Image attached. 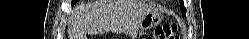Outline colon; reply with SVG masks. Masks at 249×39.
<instances>
[{
	"mask_svg": "<svg viewBox=\"0 0 249 39\" xmlns=\"http://www.w3.org/2000/svg\"><path fill=\"white\" fill-rule=\"evenodd\" d=\"M178 27L175 23H168L162 26H158L153 33V36L148 39H176Z\"/></svg>",
	"mask_w": 249,
	"mask_h": 39,
	"instance_id": "obj_1",
	"label": "colon"
}]
</instances>
